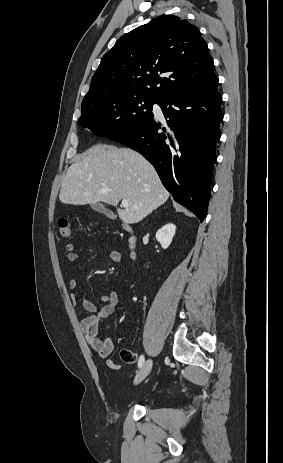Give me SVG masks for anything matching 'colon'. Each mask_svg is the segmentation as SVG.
Returning <instances> with one entry per match:
<instances>
[{"label":"colon","mask_w":283,"mask_h":463,"mask_svg":"<svg viewBox=\"0 0 283 463\" xmlns=\"http://www.w3.org/2000/svg\"><path fill=\"white\" fill-rule=\"evenodd\" d=\"M58 232L59 235L62 238H68L71 236L72 231H71V225L68 219L66 218H61L58 220ZM122 358L125 362L127 363H133L136 360V355L135 353L129 351V350H123L122 351Z\"/></svg>","instance_id":"obj_1"}]
</instances>
